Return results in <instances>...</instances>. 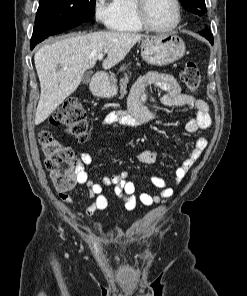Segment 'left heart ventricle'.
I'll list each match as a JSON object with an SVG mask.
<instances>
[{
    "label": "left heart ventricle",
    "mask_w": 247,
    "mask_h": 296,
    "mask_svg": "<svg viewBox=\"0 0 247 296\" xmlns=\"http://www.w3.org/2000/svg\"><path fill=\"white\" fill-rule=\"evenodd\" d=\"M147 17L155 27L170 26L175 20V7L172 0H148Z\"/></svg>",
    "instance_id": "left-heart-ventricle-1"
}]
</instances>
